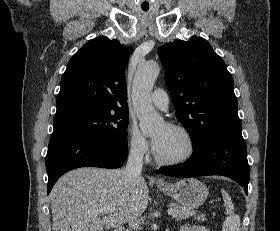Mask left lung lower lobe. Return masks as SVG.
<instances>
[{"instance_id": "1", "label": "left lung lower lobe", "mask_w": 280, "mask_h": 231, "mask_svg": "<svg viewBox=\"0 0 280 231\" xmlns=\"http://www.w3.org/2000/svg\"><path fill=\"white\" fill-rule=\"evenodd\" d=\"M193 149V155L185 163L162 167L159 171L173 177L227 176L248 194L250 168L241 130L208 135L194 142Z\"/></svg>"}]
</instances>
